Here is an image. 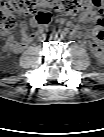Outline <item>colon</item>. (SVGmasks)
Returning a JSON list of instances; mask_svg holds the SVG:
<instances>
[{"mask_svg":"<svg viewBox=\"0 0 104 137\" xmlns=\"http://www.w3.org/2000/svg\"><path fill=\"white\" fill-rule=\"evenodd\" d=\"M86 10H104V0H6L0 6V24L3 32L15 29L18 19L33 16L39 24H49L52 13L72 15ZM96 51H102L100 41L103 37L101 22L94 30Z\"/></svg>","mask_w":104,"mask_h":137,"instance_id":"obj_1","label":"colon"}]
</instances>
